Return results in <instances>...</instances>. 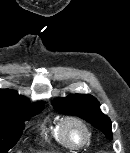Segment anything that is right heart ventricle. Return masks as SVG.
<instances>
[{"instance_id": "obj_1", "label": "right heart ventricle", "mask_w": 130, "mask_h": 153, "mask_svg": "<svg viewBox=\"0 0 130 153\" xmlns=\"http://www.w3.org/2000/svg\"><path fill=\"white\" fill-rule=\"evenodd\" d=\"M42 133L46 139H50L62 147L70 148L64 141L61 133V120L54 119L44 122L42 125Z\"/></svg>"}]
</instances>
